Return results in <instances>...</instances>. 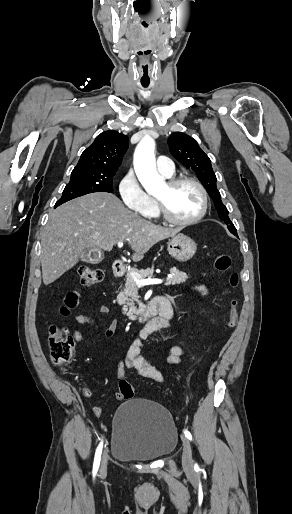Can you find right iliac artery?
I'll return each instance as SVG.
<instances>
[{
    "label": "right iliac artery",
    "mask_w": 292,
    "mask_h": 514,
    "mask_svg": "<svg viewBox=\"0 0 292 514\" xmlns=\"http://www.w3.org/2000/svg\"><path fill=\"white\" fill-rule=\"evenodd\" d=\"M102 448H103V440L100 442L96 449L95 457H94V463H93V474L95 475L99 469L100 460H101V454H102Z\"/></svg>",
    "instance_id": "right-iliac-artery-1"
}]
</instances>
